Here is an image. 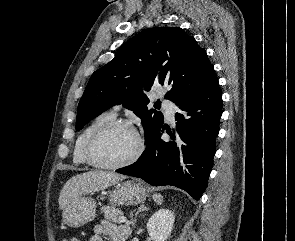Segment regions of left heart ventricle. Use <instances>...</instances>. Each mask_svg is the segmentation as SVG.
I'll return each mask as SVG.
<instances>
[{"label":"left heart ventricle","mask_w":295,"mask_h":241,"mask_svg":"<svg viewBox=\"0 0 295 241\" xmlns=\"http://www.w3.org/2000/svg\"><path fill=\"white\" fill-rule=\"evenodd\" d=\"M136 149L134 133L126 128H115L99 141L96 156L106 163H119L130 158Z\"/></svg>","instance_id":"obj_1"}]
</instances>
